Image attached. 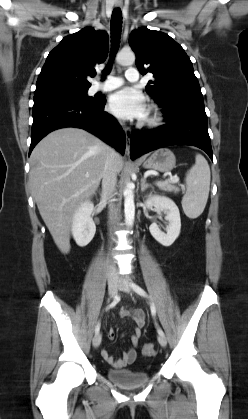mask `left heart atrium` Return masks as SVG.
<instances>
[{"label":"left heart atrium","instance_id":"1","mask_svg":"<svg viewBox=\"0 0 248 419\" xmlns=\"http://www.w3.org/2000/svg\"><path fill=\"white\" fill-rule=\"evenodd\" d=\"M110 111L122 119H143L148 113L145 96L135 88H123L111 95Z\"/></svg>","mask_w":248,"mask_h":419}]
</instances>
